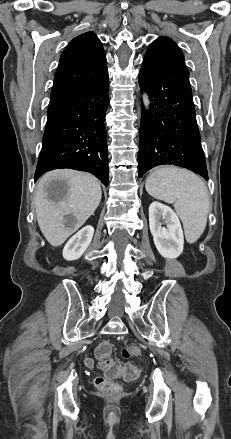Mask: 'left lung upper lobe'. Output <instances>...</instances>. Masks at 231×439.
Masks as SVG:
<instances>
[{
  "label": "left lung upper lobe",
  "instance_id": "5c2ea615",
  "mask_svg": "<svg viewBox=\"0 0 231 439\" xmlns=\"http://www.w3.org/2000/svg\"><path fill=\"white\" fill-rule=\"evenodd\" d=\"M149 47L157 48L161 52L165 53L174 62H176L187 74H189L184 62L183 53L170 38L159 37L157 40L153 41Z\"/></svg>",
  "mask_w": 231,
  "mask_h": 439
}]
</instances>
